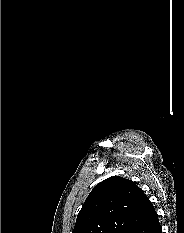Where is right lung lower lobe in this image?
Here are the masks:
<instances>
[{"label": "right lung lower lobe", "mask_w": 184, "mask_h": 233, "mask_svg": "<svg viewBox=\"0 0 184 233\" xmlns=\"http://www.w3.org/2000/svg\"><path fill=\"white\" fill-rule=\"evenodd\" d=\"M130 233H162L156 211L150 214L141 224Z\"/></svg>", "instance_id": "1"}]
</instances>
